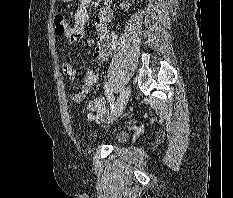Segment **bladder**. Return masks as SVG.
<instances>
[{
	"label": "bladder",
	"mask_w": 233,
	"mask_h": 198,
	"mask_svg": "<svg viewBox=\"0 0 233 198\" xmlns=\"http://www.w3.org/2000/svg\"><path fill=\"white\" fill-rule=\"evenodd\" d=\"M127 138L128 134L124 131H119L114 135V141L118 143L125 141Z\"/></svg>",
	"instance_id": "bladder-1"
}]
</instances>
